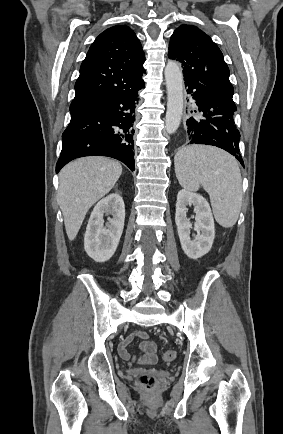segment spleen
I'll use <instances>...</instances> for the list:
<instances>
[{
    "label": "spleen",
    "instance_id": "1",
    "mask_svg": "<svg viewBox=\"0 0 283 434\" xmlns=\"http://www.w3.org/2000/svg\"><path fill=\"white\" fill-rule=\"evenodd\" d=\"M174 167L185 190L196 191L201 185L208 192L221 226L235 225L242 205V178L233 156L216 147L190 145L177 152Z\"/></svg>",
    "mask_w": 283,
    "mask_h": 434
}]
</instances>
